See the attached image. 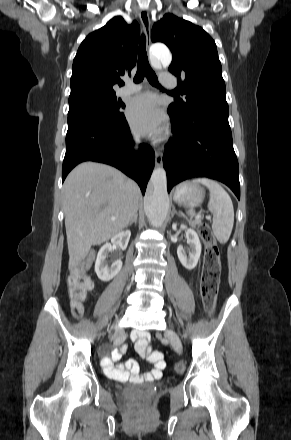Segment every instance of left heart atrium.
<instances>
[{
    "instance_id": "1",
    "label": "left heart atrium",
    "mask_w": 291,
    "mask_h": 440,
    "mask_svg": "<svg viewBox=\"0 0 291 440\" xmlns=\"http://www.w3.org/2000/svg\"><path fill=\"white\" fill-rule=\"evenodd\" d=\"M126 116L134 131L141 135L159 134L165 125L164 114L154 97L147 94L130 101Z\"/></svg>"
}]
</instances>
